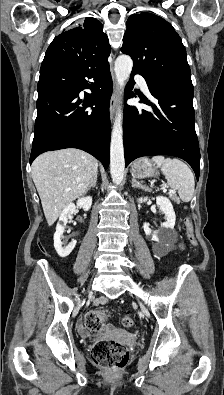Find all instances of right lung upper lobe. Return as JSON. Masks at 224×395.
I'll return each instance as SVG.
<instances>
[{"label":"right lung upper lobe","instance_id":"right-lung-upper-lobe-1","mask_svg":"<svg viewBox=\"0 0 224 395\" xmlns=\"http://www.w3.org/2000/svg\"><path fill=\"white\" fill-rule=\"evenodd\" d=\"M110 45L102 24L86 17L83 24L62 32L48 47L43 62L54 61L64 66L89 71L108 63Z\"/></svg>","mask_w":224,"mask_h":395}]
</instances>
